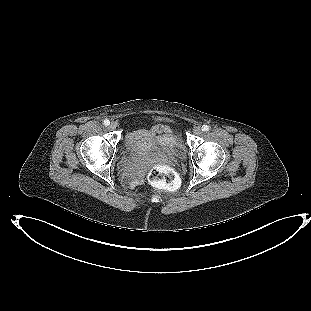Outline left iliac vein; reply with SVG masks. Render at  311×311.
<instances>
[{"label":"left iliac vein","instance_id":"4c4485c4","mask_svg":"<svg viewBox=\"0 0 311 311\" xmlns=\"http://www.w3.org/2000/svg\"><path fill=\"white\" fill-rule=\"evenodd\" d=\"M195 135H200L202 133V128L200 126H195L193 129Z\"/></svg>","mask_w":311,"mask_h":311}]
</instances>
